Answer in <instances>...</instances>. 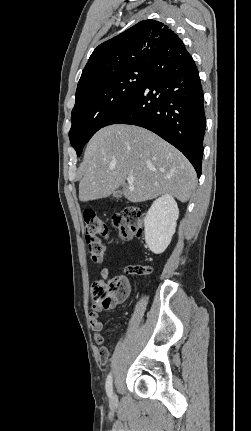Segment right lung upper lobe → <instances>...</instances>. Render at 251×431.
I'll return each mask as SVG.
<instances>
[{
	"label": "right lung upper lobe",
	"mask_w": 251,
	"mask_h": 431,
	"mask_svg": "<svg viewBox=\"0 0 251 431\" xmlns=\"http://www.w3.org/2000/svg\"><path fill=\"white\" fill-rule=\"evenodd\" d=\"M183 47L181 39L168 26L143 20L94 50L76 93L131 68L148 67L157 56Z\"/></svg>",
	"instance_id": "obj_1"
}]
</instances>
